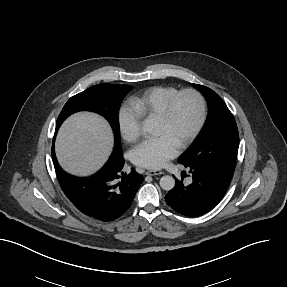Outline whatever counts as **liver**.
Returning a JSON list of instances; mask_svg holds the SVG:
<instances>
[{"label": "liver", "instance_id": "liver-1", "mask_svg": "<svg viewBox=\"0 0 287 287\" xmlns=\"http://www.w3.org/2000/svg\"><path fill=\"white\" fill-rule=\"evenodd\" d=\"M113 147L108 123L100 116L83 112L66 120L55 148L61 167L70 174L87 176L100 169Z\"/></svg>", "mask_w": 287, "mask_h": 287}]
</instances>
